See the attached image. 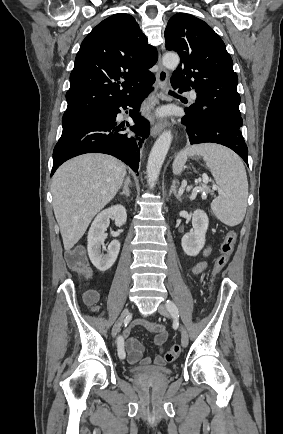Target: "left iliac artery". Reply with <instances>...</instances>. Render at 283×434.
Here are the masks:
<instances>
[{"label":"left iliac artery","instance_id":"1","mask_svg":"<svg viewBox=\"0 0 283 434\" xmlns=\"http://www.w3.org/2000/svg\"><path fill=\"white\" fill-rule=\"evenodd\" d=\"M166 306H167L169 312H170L174 317H179V311H178L176 305H175L172 301L168 300V301L166 302Z\"/></svg>","mask_w":283,"mask_h":434}]
</instances>
